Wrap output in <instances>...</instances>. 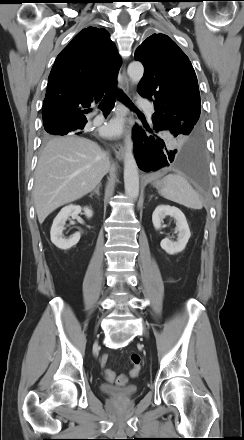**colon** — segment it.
<instances>
[{
  "label": "colon",
  "instance_id": "obj_1",
  "mask_svg": "<svg viewBox=\"0 0 244 440\" xmlns=\"http://www.w3.org/2000/svg\"><path fill=\"white\" fill-rule=\"evenodd\" d=\"M131 362L133 364V368L131 370V375L133 377H136L139 372H140V368H141V358L138 354L133 353L131 355ZM104 376L105 379L108 382H116L118 386H125L128 382V377L124 374L119 375L118 377H116L115 373L111 370V369H106L104 372Z\"/></svg>",
  "mask_w": 244,
  "mask_h": 440
}]
</instances>
